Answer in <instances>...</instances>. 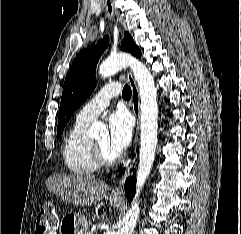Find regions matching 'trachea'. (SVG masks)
<instances>
[{
  "mask_svg": "<svg viewBox=\"0 0 241 234\" xmlns=\"http://www.w3.org/2000/svg\"><path fill=\"white\" fill-rule=\"evenodd\" d=\"M122 95L125 99H130L131 97V88L128 85H125L122 91Z\"/></svg>",
  "mask_w": 241,
  "mask_h": 234,
  "instance_id": "trachea-1",
  "label": "trachea"
}]
</instances>
